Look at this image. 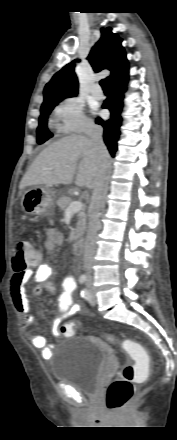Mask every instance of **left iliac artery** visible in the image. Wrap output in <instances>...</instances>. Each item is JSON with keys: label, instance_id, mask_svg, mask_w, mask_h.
<instances>
[{"label": "left iliac artery", "instance_id": "44dca946", "mask_svg": "<svg viewBox=\"0 0 177 440\" xmlns=\"http://www.w3.org/2000/svg\"><path fill=\"white\" fill-rule=\"evenodd\" d=\"M81 295H82V297H83L84 299H86V300H89V299H90V294H89V292H88L86 289H84V290L81 291Z\"/></svg>", "mask_w": 177, "mask_h": 440}]
</instances>
